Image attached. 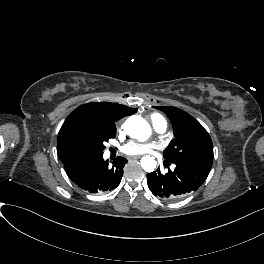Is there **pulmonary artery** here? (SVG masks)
Returning <instances> with one entry per match:
<instances>
[{"label":"pulmonary artery","mask_w":264,"mask_h":264,"mask_svg":"<svg viewBox=\"0 0 264 264\" xmlns=\"http://www.w3.org/2000/svg\"><path fill=\"white\" fill-rule=\"evenodd\" d=\"M152 146L151 145H143V146H141V147H139V151L140 152H147V151H149L150 150V148H151Z\"/></svg>","instance_id":"1"}]
</instances>
